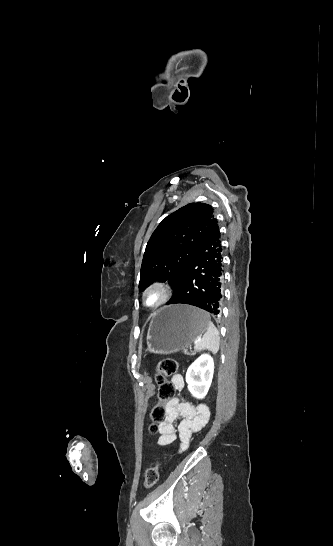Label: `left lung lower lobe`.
<instances>
[{"instance_id": "left-lung-lower-lobe-1", "label": "left lung lower lobe", "mask_w": 333, "mask_h": 546, "mask_svg": "<svg viewBox=\"0 0 333 546\" xmlns=\"http://www.w3.org/2000/svg\"><path fill=\"white\" fill-rule=\"evenodd\" d=\"M222 246L215 220L196 251L194 260L181 277L169 304H189L218 317L222 304Z\"/></svg>"}]
</instances>
